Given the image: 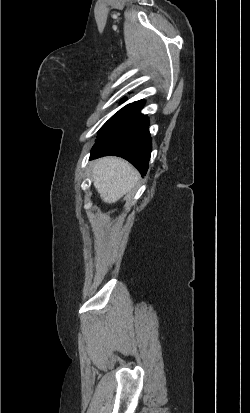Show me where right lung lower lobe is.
Instances as JSON below:
<instances>
[{
  "label": "right lung lower lobe",
  "mask_w": 250,
  "mask_h": 413,
  "mask_svg": "<svg viewBox=\"0 0 250 413\" xmlns=\"http://www.w3.org/2000/svg\"><path fill=\"white\" fill-rule=\"evenodd\" d=\"M143 105V100L130 104L119 123L95 143L90 159L120 156L146 175L152 143L148 118L139 112Z\"/></svg>",
  "instance_id": "98d812e1"
}]
</instances>
